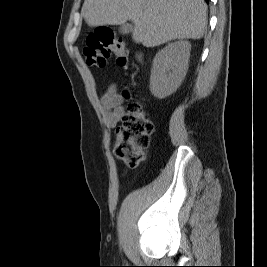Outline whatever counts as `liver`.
<instances>
[{"label":"liver","instance_id":"liver-1","mask_svg":"<svg viewBox=\"0 0 267 267\" xmlns=\"http://www.w3.org/2000/svg\"><path fill=\"white\" fill-rule=\"evenodd\" d=\"M81 13L91 27L132 21V39L145 47L200 39L207 25L204 0H85Z\"/></svg>","mask_w":267,"mask_h":267}]
</instances>
